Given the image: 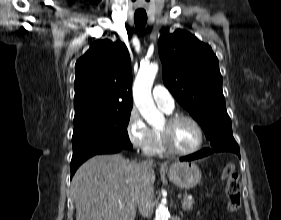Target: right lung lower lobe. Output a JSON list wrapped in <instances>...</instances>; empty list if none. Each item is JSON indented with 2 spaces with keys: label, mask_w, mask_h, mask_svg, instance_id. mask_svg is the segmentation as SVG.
<instances>
[{
  "label": "right lung lower lobe",
  "mask_w": 281,
  "mask_h": 220,
  "mask_svg": "<svg viewBox=\"0 0 281 220\" xmlns=\"http://www.w3.org/2000/svg\"><path fill=\"white\" fill-rule=\"evenodd\" d=\"M123 150H126L125 148L118 147V146H111V147H106V148H99V149H86L83 151H80L76 154H73L72 160H71V176L74 175L75 171L77 168L88 158L94 156V155H99V154H113V153H118Z\"/></svg>",
  "instance_id": "98d812e1"
}]
</instances>
